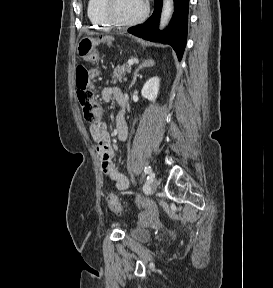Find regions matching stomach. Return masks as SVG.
Instances as JSON below:
<instances>
[{"mask_svg": "<svg viewBox=\"0 0 273 288\" xmlns=\"http://www.w3.org/2000/svg\"><path fill=\"white\" fill-rule=\"evenodd\" d=\"M97 44V39L93 37H83L80 40V45H78V54L87 59L89 54L94 51V48Z\"/></svg>", "mask_w": 273, "mask_h": 288, "instance_id": "1", "label": "stomach"}]
</instances>
